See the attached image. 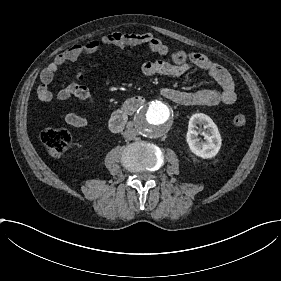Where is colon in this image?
Here are the masks:
<instances>
[{
    "mask_svg": "<svg viewBox=\"0 0 281 281\" xmlns=\"http://www.w3.org/2000/svg\"><path fill=\"white\" fill-rule=\"evenodd\" d=\"M232 123L236 127H243L247 123V117L244 113H235L232 116ZM41 140L51 157L60 156L72 143L70 132L65 128L44 130L41 134Z\"/></svg>",
    "mask_w": 281,
    "mask_h": 281,
    "instance_id": "5ec220e1",
    "label": "colon"
}]
</instances>
